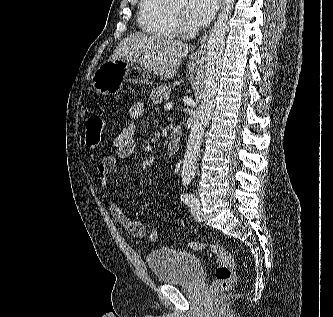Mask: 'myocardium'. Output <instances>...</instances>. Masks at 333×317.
<instances>
[{
	"mask_svg": "<svg viewBox=\"0 0 333 317\" xmlns=\"http://www.w3.org/2000/svg\"><path fill=\"white\" fill-rule=\"evenodd\" d=\"M167 11L170 15V17L172 18V20L176 23V24H181L182 23V17L177 15L170 7V5L167 3L166 5Z\"/></svg>",
	"mask_w": 333,
	"mask_h": 317,
	"instance_id": "obj_1",
	"label": "myocardium"
}]
</instances>
